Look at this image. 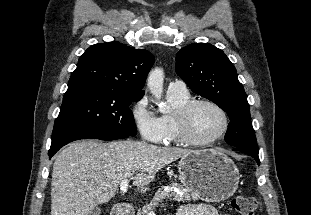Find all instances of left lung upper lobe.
<instances>
[{
	"label": "left lung upper lobe",
	"mask_w": 311,
	"mask_h": 215,
	"mask_svg": "<svg viewBox=\"0 0 311 215\" xmlns=\"http://www.w3.org/2000/svg\"><path fill=\"white\" fill-rule=\"evenodd\" d=\"M175 70L193 92L228 114L231 122L225 134L226 143L259 152L247 95L234 65L222 50L209 43L190 44L177 53Z\"/></svg>",
	"instance_id": "1"
}]
</instances>
